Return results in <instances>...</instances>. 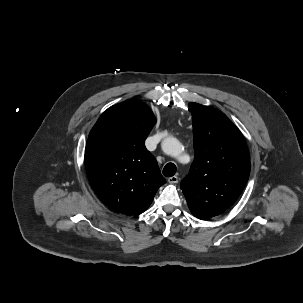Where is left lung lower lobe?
I'll use <instances>...</instances> for the list:
<instances>
[{
  "label": "left lung lower lobe",
  "mask_w": 303,
  "mask_h": 303,
  "mask_svg": "<svg viewBox=\"0 0 303 303\" xmlns=\"http://www.w3.org/2000/svg\"><path fill=\"white\" fill-rule=\"evenodd\" d=\"M194 216H196L197 218L202 219V220H208V218L203 215H194Z\"/></svg>",
  "instance_id": "left-lung-lower-lobe-1"
}]
</instances>
